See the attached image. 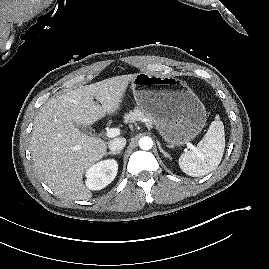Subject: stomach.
Masks as SVG:
<instances>
[{
  "mask_svg": "<svg viewBox=\"0 0 269 269\" xmlns=\"http://www.w3.org/2000/svg\"><path fill=\"white\" fill-rule=\"evenodd\" d=\"M138 108L172 147L193 140L206 123V109L181 80L165 75L138 73L131 81Z\"/></svg>",
  "mask_w": 269,
  "mask_h": 269,
  "instance_id": "1",
  "label": "stomach"
}]
</instances>
